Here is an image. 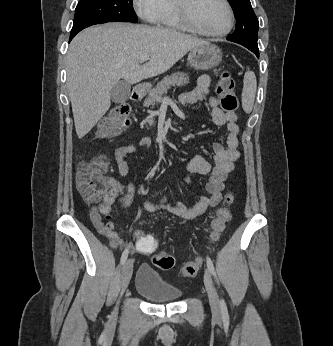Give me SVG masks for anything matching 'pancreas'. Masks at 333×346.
<instances>
[{"label":"pancreas","instance_id":"obj_1","mask_svg":"<svg viewBox=\"0 0 333 346\" xmlns=\"http://www.w3.org/2000/svg\"><path fill=\"white\" fill-rule=\"evenodd\" d=\"M189 83L187 74L185 73H174L170 76L164 77L156 86L152 89L148 98L144 101V106L149 107L150 105L154 106L155 103L162 101V95L167 92L171 86H183ZM154 113L147 118L146 122L150 125L154 124Z\"/></svg>","mask_w":333,"mask_h":346}]
</instances>
